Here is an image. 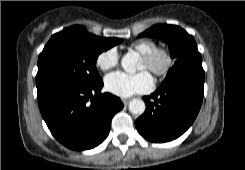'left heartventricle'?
<instances>
[{
	"mask_svg": "<svg viewBox=\"0 0 245 170\" xmlns=\"http://www.w3.org/2000/svg\"><path fill=\"white\" fill-rule=\"evenodd\" d=\"M162 65V60H158L157 63L155 64L156 67H160ZM140 69L147 68V63L142 59L140 63Z\"/></svg>",
	"mask_w": 245,
	"mask_h": 170,
	"instance_id": "b2bd125f",
	"label": "left heart ventricle"
}]
</instances>
